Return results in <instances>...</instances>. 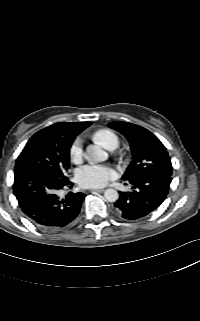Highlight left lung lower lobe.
<instances>
[{
  "mask_svg": "<svg viewBox=\"0 0 200 321\" xmlns=\"http://www.w3.org/2000/svg\"><path fill=\"white\" fill-rule=\"evenodd\" d=\"M123 180L132 185V191L121 193L114 204L116 214L122 220H137L162 204L172 178L164 174H148Z\"/></svg>",
  "mask_w": 200,
  "mask_h": 321,
  "instance_id": "1",
  "label": "left lung lower lobe"
}]
</instances>
